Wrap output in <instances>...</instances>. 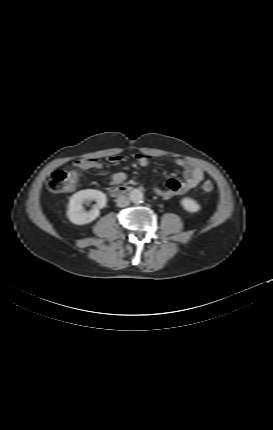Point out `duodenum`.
<instances>
[{"instance_id":"410a0bca","label":"duodenum","mask_w":273,"mask_h":430,"mask_svg":"<svg viewBox=\"0 0 273 430\" xmlns=\"http://www.w3.org/2000/svg\"><path fill=\"white\" fill-rule=\"evenodd\" d=\"M132 190H133V188L131 186L120 185V186L112 188L110 190V194L114 197H117V196H122L124 194H127V193L131 192Z\"/></svg>"}]
</instances>
